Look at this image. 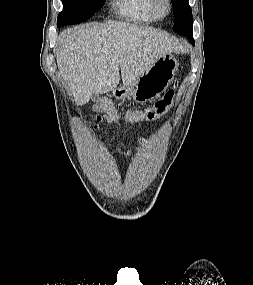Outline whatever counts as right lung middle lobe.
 <instances>
[{"label": "right lung middle lobe", "mask_w": 253, "mask_h": 285, "mask_svg": "<svg viewBox=\"0 0 253 285\" xmlns=\"http://www.w3.org/2000/svg\"><path fill=\"white\" fill-rule=\"evenodd\" d=\"M105 0H62L63 11L59 13L57 24L59 27L77 24L89 19L100 9Z\"/></svg>", "instance_id": "1"}]
</instances>
